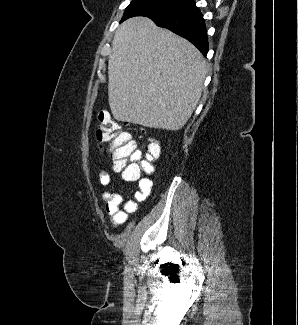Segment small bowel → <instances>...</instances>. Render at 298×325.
Returning a JSON list of instances; mask_svg holds the SVG:
<instances>
[{
	"instance_id": "1",
	"label": "small bowel",
	"mask_w": 298,
	"mask_h": 325,
	"mask_svg": "<svg viewBox=\"0 0 298 325\" xmlns=\"http://www.w3.org/2000/svg\"><path fill=\"white\" fill-rule=\"evenodd\" d=\"M149 174L138 178V189L134 193L133 200H124L120 194L114 192L107 191L103 194L106 213L114 226L125 224L129 215L138 210L139 202L148 199L154 185ZM99 182L104 187L110 184L111 178L107 170L102 169L99 172Z\"/></svg>"
}]
</instances>
